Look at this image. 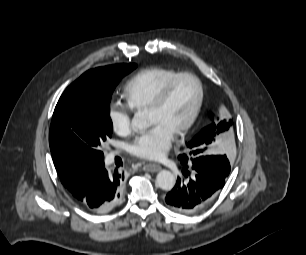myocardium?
Here are the masks:
<instances>
[{"label":"myocardium","mask_w":306,"mask_h":255,"mask_svg":"<svg viewBox=\"0 0 306 255\" xmlns=\"http://www.w3.org/2000/svg\"><path fill=\"white\" fill-rule=\"evenodd\" d=\"M184 77H190L192 78L198 85L199 88V96H198V100L195 106V109L192 113V115L190 116V118L187 120L186 123H184L175 133L174 136L175 137H181L183 136L186 132H188L193 125L196 123V121L198 120L202 107H203V103H204V99H205V88L203 85V82L201 81V79L194 73L192 72H180L177 75H175L174 77H172L165 85L164 87L158 92V94L155 96V98L152 100V102L150 103V105L148 106L147 110L148 111H153V110H157L160 107H162V105L165 103L166 99L168 98L172 88L174 87V85L177 83V81H179L181 78Z\"/></svg>","instance_id":"f54148a6"}]
</instances>
